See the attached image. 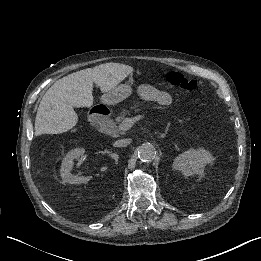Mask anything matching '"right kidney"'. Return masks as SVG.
<instances>
[{
    "label": "right kidney",
    "instance_id": "1",
    "mask_svg": "<svg viewBox=\"0 0 261 261\" xmlns=\"http://www.w3.org/2000/svg\"><path fill=\"white\" fill-rule=\"evenodd\" d=\"M80 151V154H84L83 148H78L73 150L71 153H68L66 157L62 161L61 165V177L62 179L70 184H81V183H87L89 181L88 177L81 178L76 176H71L70 170L72 169V161L74 158L78 156V152ZM72 154V155H70Z\"/></svg>",
    "mask_w": 261,
    "mask_h": 261
}]
</instances>
